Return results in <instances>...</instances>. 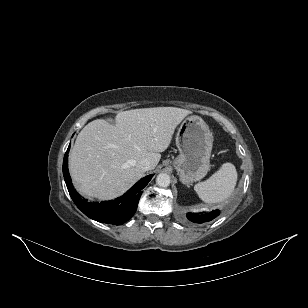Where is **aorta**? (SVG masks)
I'll return each instance as SVG.
<instances>
[{
  "label": "aorta",
  "mask_w": 308,
  "mask_h": 308,
  "mask_svg": "<svg viewBox=\"0 0 308 308\" xmlns=\"http://www.w3.org/2000/svg\"><path fill=\"white\" fill-rule=\"evenodd\" d=\"M170 176L167 173H160L156 178V184L159 187H168L170 185Z\"/></svg>",
  "instance_id": "obj_1"
}]
</instances>
